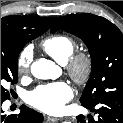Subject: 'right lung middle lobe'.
I'll use <instances>...</instances> for the list:
<instances>
[{
  "mask_svg": "<svg viewBox=\"0 0 123 123\" xmlns=\"http://www.w3.org/2000/svg\"><path fill=\"white\" fill-rule=\"evenodd\" d=\"M43 32L32 33L24 36L11 44L1 45V101L10 97L6 89L9 84L18 82L17 61L18 54L26 43L40 36Z\"/></svg>",
  "mask_w": 123,
  "mask_h": 123,
  "instance_id": "right-lung-middle-lobe-1",
  "label": "right lung middle lobe"
}]
</instances>
